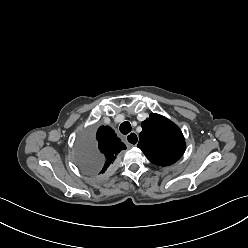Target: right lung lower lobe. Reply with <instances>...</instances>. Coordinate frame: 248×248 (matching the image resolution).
Here are the masks:
<instances>
[{
  "instance_id": "98d812e1",
  "label": "right lung lower lobe",
  "mask_w": 248,
  "mask_h": 248,
  "mask_svg": "<svg viewBox=\"0 0 248 248\" xmlns=\"http://www.w3.org/2000/svg\"><path fill=\"white\" fill-rule=\"evenodd\" d=\"M113 166H114V164L111 166V168L108 171H110L113 168Z\"/></svg>"
}]
</instances>
